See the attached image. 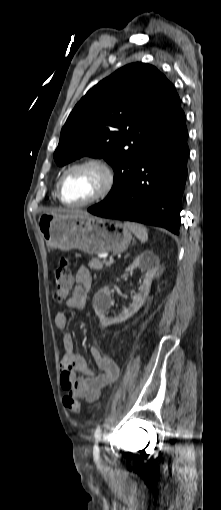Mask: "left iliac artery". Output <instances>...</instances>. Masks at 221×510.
<instances>
[{"label":"left iliac artery","instance_id":"obj_1","mask_svg":"<svg viewBox=\"0 0 221 510\" xmlns=\"http://www.w3.org/2000/svg\"><path fill=\"white\" fill-rule=\"evenodd\" d=\"M94 436H95V438H96V442H98V441H99V439H100V436H101V428H100V426H98V427L96 428L95 433H94ZM95 448H96V450H98V447H97V446H95Z\"/></svg>","mask_w":221,"mask_h":510}]
</instances>
